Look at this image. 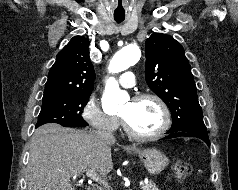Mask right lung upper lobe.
Here are the masks:
<instances>
[{"label": "right lung upper lobe", "mask_w": 238, "mask_h": 190, "mask_svg": "<svg viewBox=\"0 0 238 190\" xmlns=\"http://www.w3.org/2000/svg\"><path fill=\"white\" fill-rule=\"evenodd\" d=\"M89 40L75 36L61 50L48 74L44 96L90 95L94 88V68L88 56Z\"/></svg>", "instance_id": "obj_1"}]
</instances>
